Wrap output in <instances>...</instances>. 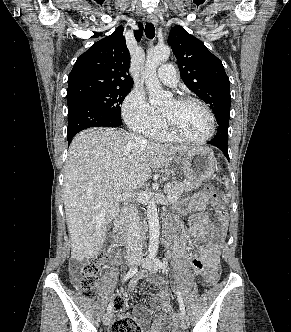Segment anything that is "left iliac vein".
I'll use <instances>...</instances> for the list:
<instances>
[{"mask_svg": "<svg viewBox=\"0 0 291 332\" xmlns=\"http://www.w3.org/2000/svg\"><path fill=\"white\" fill-rule=\"evenodd\" d=\"M138 265L155 273L157 271V266L155 265L154 261L150 258V257H147V258H143V257H140L138 259ZM179 323H180V326L184 329H186L189 325V322H188V318L185 314H180L179 316Z\"/></svg>", "mask_w": 291, "mask_h": 332, "instance_id": "obj_1", "label": "left iliac vein"}]
</instances>
